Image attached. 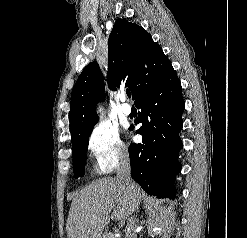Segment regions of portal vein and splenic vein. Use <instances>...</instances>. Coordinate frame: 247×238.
<instances>
[{
  "mask_svg": "<svg viewBox=\"0 0 247 238\" xmlns=\"http://www.w3.org/2000/svg\"><path fill=\"white\" fill-rule=\"evenodd\" d=\"M108 238H114L113 233H109V234H108Z\"/></svg>",
  "mask_w": 247,
  "mask_h": 238,
  "instance_id": "obj_1",
  "label": "portal vein and splenic vein"
}]
</instances>
